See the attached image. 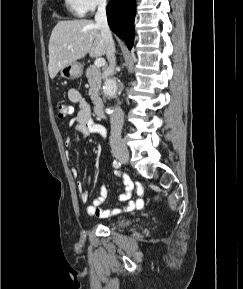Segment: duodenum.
<instances>
[{
	"label": "duodenum",
	"mask_w": 243,
	"mask_h": 289,
	"mask_svg": "<svg viewBox=\"0 0 243 289\" xmlns=\"http://www.w3.org/2000/svg\"><path fill=\"white\" fill-rule=\"evenodd\" d=\"M94 112L97 117L104 118L106 116L105 107L102 101L96 100L94 103Z\"/></svg>",
	"instance_id": "duodenum-1"
}]
</instances>
